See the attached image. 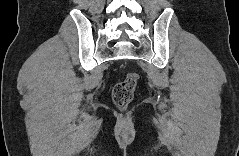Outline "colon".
Segmentation results:
<instances>
[{
	"label": "colon",
	"instance_id": "5ec220e1",
	"mask_svg": "<svg viewBox=\"0 0 239 156\" xmlns=\"http://www.w3.org/2000/svg\"><path fill=\"white\" fill-rule=\"evenodd\" d=\"M138 80L137 73H129L124 80L114 86L112 100L117 108H126L131 103Z\"/></svg>",
	"mask_w": 239,
	"mask_h": 156
}]
</instances>
